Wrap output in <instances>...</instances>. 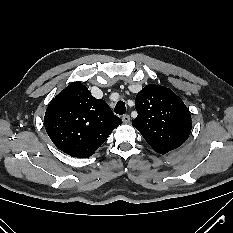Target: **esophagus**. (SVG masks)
I'll list each match as a JSON object with an SVG mask.
<instances>
[{"label": "esophagus", "instance_id": "1", "mask_svg": "<svg viewBox=\"0 0 233 233\" xmlns=\"http://www.w3.org/2000/svg\"><path fill=\"white\" fill-rule=\"evenodd\" d=\"M122 120L125 124L130 122V116L128 114L122 116Z\"/></svg>", "mask_w": 233, "mask_h": 233}]
</instances>
